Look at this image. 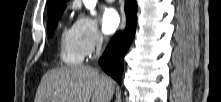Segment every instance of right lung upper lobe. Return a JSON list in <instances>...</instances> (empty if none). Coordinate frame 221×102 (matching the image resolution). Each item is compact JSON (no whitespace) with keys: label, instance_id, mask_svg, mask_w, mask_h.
I'll list each match as a JSON object with an SVG mask.
<instances>
[{"label":"right lung upper lobe","instance_id":"obj_1","mask_svg":"<svg viewBox=\"0 0 221 102\" xmlns=\"http://www.w3.org/2000/svg\"><path fill=\"white\" fill-rule=\"evenodd\" d=\"M67 0H49L48 3V18H50L56 12L65 8L64 4Z\"/></svg>","mask_w":221,"mask_h":102}]
</instances>
